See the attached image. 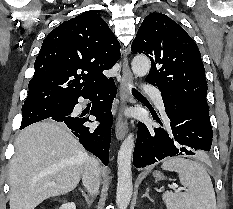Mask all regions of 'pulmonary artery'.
Segmentation results:
<instances>
[{"mask_svg": "<svg viewBox=\"0 0 233 209\" xmlns=\"http://www.w3.org/2000/svg\"><path fill=\"white\" fill-rule=\"evenodd\" d=\"M144 91L152 96L156 107L162 111L163 115H165L163 99H162L160 91L151 85H146L144 87Z\"/></svg>", "mask_w": 233, "mask_h": 209, "instance_id": "obj_1", "label": "pulmonary artery"}]
</instances>
